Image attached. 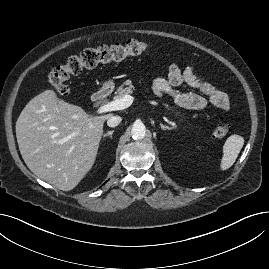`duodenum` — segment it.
I'll return each mask as SVG.
<instances>
[{
	"mask_svg": "<svg viewBox=\"0 0 269 269\" xmlns=\"http://www.w3.org/2000/svg\"><path fill=\"white\" fill-rule=\"evenodd\" d=\"M111 90L108 86L101 87L98 91H96L92 96V101L95 104H102L110 95Z\"/></svg>",
	"mask_w": 269,
	"mask_h": 269,
	"instance_id": "410a0bca",
	"label": "duodenum"
}]
</instances>
